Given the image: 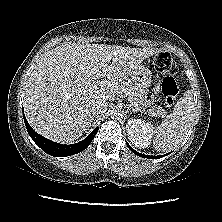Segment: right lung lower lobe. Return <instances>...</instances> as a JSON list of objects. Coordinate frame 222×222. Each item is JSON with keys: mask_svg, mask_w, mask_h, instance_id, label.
Wrapping results in <instances>:
<instances>
[{"mask_svg": "<svg viewBox=\"0 0 222 222\" xmlns=\"http://www.w3.org/2000/svg\"><path fill=\"white\" fill-rule=\"evenodd\" d=\"M24 117V122L27 128V131L30 135V137L33 139V141L46 153L52 155V156H57V157H65V156H70L76 153H79L83 151L85 148L89 146V144L92 142L94 136L96 135L98 131V127H96L91 134L85 138L84 140L71 144V145H64V144H59L56 142H53L38 133H36L29 123L27 122L25 116Z\"/></svg>", "mask_w": 222, "mask_h": 222, "instance_id": "1", "label": "right lung lower lobe"}]
</instances>
